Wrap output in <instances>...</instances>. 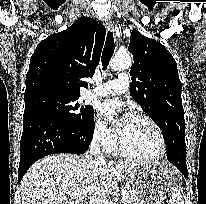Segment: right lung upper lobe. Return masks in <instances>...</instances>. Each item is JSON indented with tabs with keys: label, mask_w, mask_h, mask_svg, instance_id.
<instances>
[{
	"label": "right lung upper lobe",
	"mask_w": 206,
	"mask_h": 204,
	"mask_svg": "<svg viewBox=\"0 0 206 204\" xmlns=\"http://www.w3.org/2000/svg\"><path fill=\"white\" fill-rule=\"evenodd\" d=\"M105 32L103 24L82 16L40 42L30 59L24 97L41 93L80 96V87H87L80 79L94 74Z\"/></svg>",
	"instance_id": "cb5924a9"
}]
</instances>
